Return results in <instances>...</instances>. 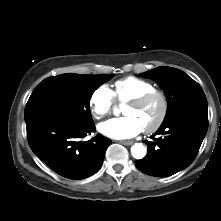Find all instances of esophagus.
Returning a JSON list of instances; mask_svg holds the SVG:
<instances>
[{"instance_id":"1","label":"esophagus","mask_w":221,"mask_h":221,"mask_svg":"<svg viewBox=\"0 0 221 221\" xmlns=\"http://www.w3.org/2000/svg\"><path fill=\"white\" fill-rule=\"evenodd\" d=\"M119 143H121L123 145H126V146H129V145L133 144V141H131V140H121V141H119Z\"/></svg>"}]
</instances>
